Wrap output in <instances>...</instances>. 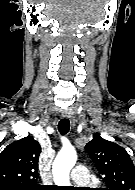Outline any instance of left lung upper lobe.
<instances>
[{"instance_id": "left-lung-upper-lobe-1", "label": "left lung upper lobe", "mask_w": 135, "mask_h": 190, "mask_svg": "<svg viewBox=\"0 0 135 190\" xmlns=\"http://www.w3.org/2000/svg\"><path fill=\"white\" fill-rule=\"evenodd\" d=\"M85 149L104 176L105 190H135V166L123 147L98 134Z\"/></svg>"}]
</instances>
